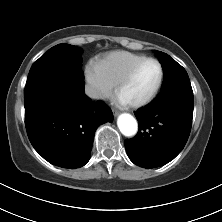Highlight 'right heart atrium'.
<instances>
[{"mask_svg": "<svg viewBox=\"0 0 222 222\" xmlns=\"http://www.w3.org/2000/svg\"><path fill=\"white\" fill-rule=\"evenodd\" d=\"M85 74L92 98L105 100L112 95L114 86L102 76L98 64L89 62L86 65Z\"/></svg>", "mask_w": 222, "mask_h": 222, "instance_id": "d8ad5b80", "label": "right heart atrium"}]
</instances>
